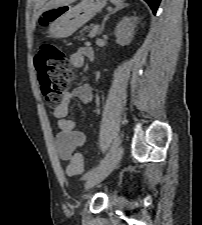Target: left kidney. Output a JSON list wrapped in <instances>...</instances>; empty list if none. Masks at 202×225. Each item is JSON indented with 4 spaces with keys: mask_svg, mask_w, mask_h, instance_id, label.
<instances>
[{
    "mask_svg": "<svg viewBox=\"0 0 202 225\" xmlns=\"http://www.w3.org/2000/svg\"><path fill=\"white\" fill-rule=\"evenodd\" d=\"M139 18L132 16V17H124L116 26L115 29V36H116V43L125 46L128 45L134 34L136 24L138 23Z\"/></svg>",
    "mask_w": 202,
    "mask_h": 225,
    "instance_id": "1",
    "label": "left kidney"
}]
</instances>
